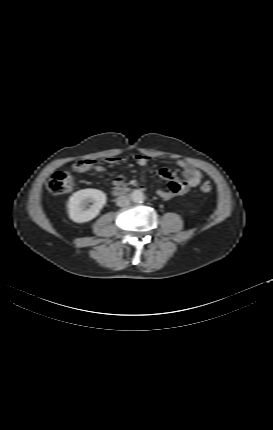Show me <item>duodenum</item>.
I'll list each match as a JSON object with an SVG mask.
<instances>
[{"label":"duodenum","instance_id":"1","mask_svg":"<svg viewBox=\"0 0 273 430\" xmlns=\"http://www.w3.org/2000/svg\"><path fill=\"white\" fill-rule=\"evenodd\" d=\"M128 191H129V188L122 186V187L116 188L113 191V193L115 195H123V194H126Z\"/></svg>","mask_w":273,"mask_h":430}]
</instances>
